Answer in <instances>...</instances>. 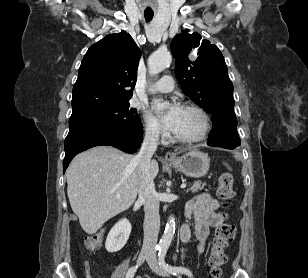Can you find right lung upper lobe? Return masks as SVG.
<instances>
[{"label":"right lung upper lobe","instance_id":"cb5924a9","mask_svg":"<svg viewBox=\"0 0 308 278\" xmlns=\"http://www.w3.org/2000/svg\"><path fill=\"white\" fill-rule=\"evenodd\" d=\"M140 56V49L124 31L93 44L82 60L73 87L71 116L128 102Z\"/></svg>","mask_w":308,"mask_h":278}]
</instances>
